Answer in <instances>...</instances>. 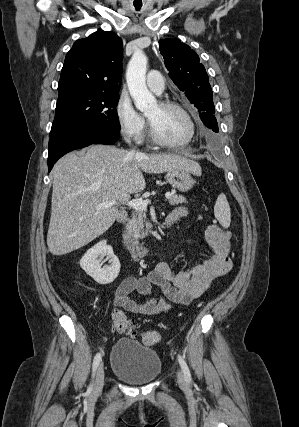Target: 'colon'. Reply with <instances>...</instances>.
Returning a JSON list of instances; mask_svg holds the SVG:
<instances>
[{
    "label": "colon",
    "mask_w": 299,
    "mask_h": 427,
    "mask_svg": "<svg viewBox=\"0 0 299 427\" xmlns=\"http://www.w3.org/2000/svg\"><path fill=\"white\" fill-rule=\"evenodd\" d=\"M112 323L116 331L130 336L136 335L134 324L122 312H114Z\"/></svg>",
    "instance_id": "5ec220e1"
}]
</instances>
